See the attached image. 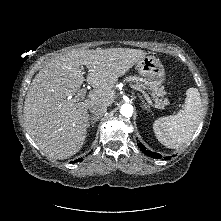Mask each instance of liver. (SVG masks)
Listing matches in <instances>:
<instances>
[{"instance_id": "liver-1", "label": "liver", "mask_w": 221, "mask_h": 221, "mask_svg": "<svg viewBox=\"0 0 221 221\" xmlns=\"http://www.w3.org/2000/svg\"><path fill=\"white\" fill-rule=\"evenodd\" d=\"M146 52L130 48L72 50L54 58L35 76L24 103L26 130L49 157L66 159L83 146L93 103L110 106L113 89ZM88 68L86 81L94 89L79 102L78 92L84 82L81 66ZM70 98V99H68Z\"/></svg>"}]
</instances>
